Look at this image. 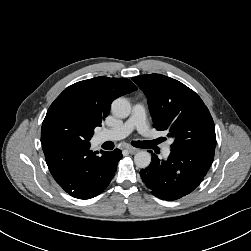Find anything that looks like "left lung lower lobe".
<instances>
[{
  "mask_svg": "<svg viewBox=\"0 0 251 251\" xmlns=\"http://www.w3.org/2000/svg\"><path fill=\"white\" fill-rule=\"evenodd\" d=\"M215 150L206 148L172 149L166 160L152 153L151 164L140 171L151 193L167 201L191 193L207 174Z\"/></svg>",
  "mask_w": 251,
  "mask_h": 251,
  "instance_id": "obj_1",
  "label": "left lung lower lobe"
}]
</instances>
